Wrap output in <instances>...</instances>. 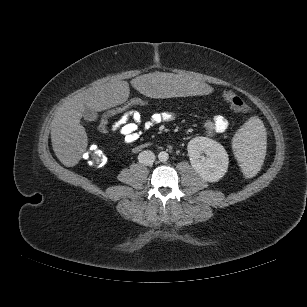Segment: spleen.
<instances>
[{"mask_svg": "<svg viewBox=\"0 0 307 307\" xmlns=\"http://www.w3.org/2000/svg\"><path fill=\"white\" fill-rule=\"evenodd\" d=\"M270 141L265 137L262 121L251 117L233 139L238 154V169L247 179L257 176L263 169V150Z\"/></svg>", "mask_w": 307, "mask_h": 307, "instance_id": "3e777b00", "label": "spleen"}]
</instances>
